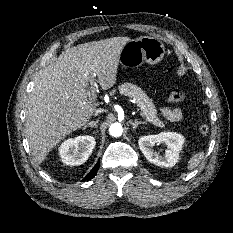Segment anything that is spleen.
I'll return each instance as SVG.
<instances>
[{"mask_svg":"<svg viewBox=\"0 0 233 233\" xmlns=\"http://www.w3.org/2000/svg\"><path fill=\"white\" fill-rule=\"evenodd\" d=\"M205 157L204 151H199L192 155L190 160L188 161V170H194L201 163L202 159Z\"/></svg>","mask_w":233,"mask_h":233,"instance_id":"1","label":"spleen"}]
</instances>
